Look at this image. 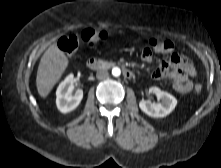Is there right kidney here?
I'll list each match as a JSON object with an SVG mask.
<instances>
[{
	"instance_id": "right-kidney-1",
	"label": "right kidney",
	"mask_w": 221,
	"mask_h": 168,
	"mask_svg": "<svg viewBox=\"0 0 221 168\" xmlns=\"http://www.w3.org/2000/svg\"><path fill=\"white\" fill-rule=\"evenodd\" d=\"M74 82V76L70 74L57 88L56 105L61 113L66 114L73 111L83 99V91L81 89L73 93Z\"/></svg>"
}]
</instances>
